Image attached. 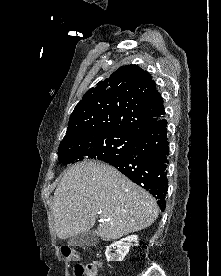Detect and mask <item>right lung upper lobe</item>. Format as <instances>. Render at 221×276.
<instances>
[{"instance_id": "1", "label": "right lung upper lobe", "mask_w": 221, "mask_h": 276, "mask_svg": "<svg viewBox=\"0 0 221 276\" xmlns=\"http://www.w3.org/2000/svg\"><path fill=\"white\" fill-rule=\"evenodd\" d=\"M164 114L151 75L137 65L122 66L84 94L61 142L111 132L140 137Z\"/></svg>"}]
</instances>
